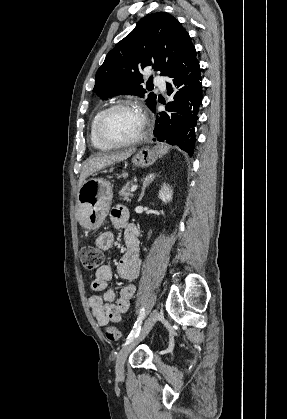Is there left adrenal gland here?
Returning a JSON list of instances; mask_svg holds the SVG:
<instances>
[{
    "label": "left adrenal gland",
    "mask_w": 287,
    "mask_h": 419,
    "mask_svg": "<svg viewBox=\"0 0 287 419\" xmlns=\"http://www.w3.org/2000/svg\"><path fill=\"white\" fill-rule=\"evenodd\" d=\"M155 176H156V174L153 173V174H149L148 176H146L143 179L142 192L140 194V197L138 199V202H140L142 200V198L144 196V193H145V189L152 183V181L154 180Z\"/></svg>",
    "instance_id": "a2214340"
}]
</instances>
